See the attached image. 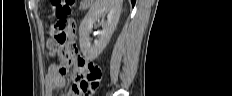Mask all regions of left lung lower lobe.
<instances>
[{
    "label": "left lung lower lobe",
    "instance_id": "0a47b994",
    "mask_svg": "<svg viewBox=\"0 0 232 96\" xmlns=\"http://www.w3.org/2000/svg\"><path fill=\"white\" fill-rule=\"evenodd\" d=\"M131 2H132V5H134V4H135V0H131Z\"/></svg>",
    "mask_w": 232,
    "mask_h": 96
}]
</instances>
